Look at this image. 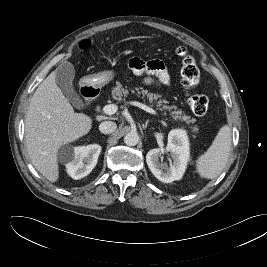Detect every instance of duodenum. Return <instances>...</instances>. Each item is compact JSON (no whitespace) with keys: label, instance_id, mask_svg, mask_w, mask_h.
<instances>
[{"label":"duodenum","instance_id":"obj_1","mask_svg":"<svg viewBox=\"0 0 267 267\" xmlns=\"http://www.w3.org/2000/svg\"><path fill=\"white\" fill-rule=\"evenodd\" d=\"M82 92L85 94L87 99H95L98 94V89L91 84H85L82 87Z\"/></svg>","mask_w":267,"mask_h":267}]
</instances>
